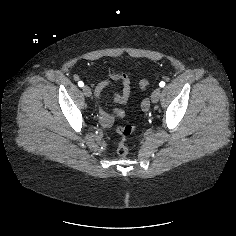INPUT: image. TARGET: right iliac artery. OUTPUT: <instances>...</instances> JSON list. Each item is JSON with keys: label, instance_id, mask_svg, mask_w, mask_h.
Returning a JSON list of instances; mask_svg holds the SVG:
<instances>
[{"label": "right iliac artery", "instance_id": "1", "mask_svg": "<svg viewBox=\"0 0 236 236\" xmlns=\"http://www.w3.org/2000/svg\"><path fill=\"white\" fill-rule=\"evenodd\" d=\"M78 86H79V87H83V86H84V83H83L82 81H79V82H78Z\"/></svg>", "mask_w": 236, "mask_h": 236}]
</instances>
